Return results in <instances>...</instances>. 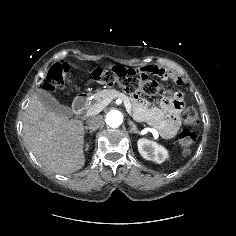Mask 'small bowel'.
Listing matches in <instances>:
<instances>
[{"mask_svg": "<svg viewBox=\"0 0 236 236\" xmlns=\"http://www.w3.org/2000/svg\"><path fill=\"white\" fill-rule=\"evenodd\" d=\"M117 72L120 76H127L130 79H151L157 75L164 80H174L178 82V79L170 72L151 66L139 65L129 67L126 64H122L118 67ZM181 109V100L175 102L162 101L159 107H151L146 102L139 101L135 113L138 118L154 126L163 137L172 138L179 129V115Z\"/></svg>", "mask_w": 236, "mask_h": 236, "instance_id": "c3829d8e", "label": "small bowel"}]
</instances>
